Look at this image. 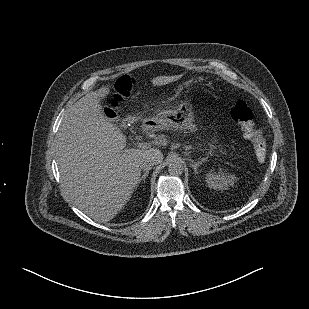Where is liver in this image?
I'll return each mask as SVG.
<instances>
[{
  "mask_svg": "<svg viewBox=\"0 0 309 309\" xmlns=\"http://www.w3.org/2000/svg\"><path fill=\"white\" fill-rule=\"evenodd\" d=\"M108 94L109 88L101 87L68 108L56 145L67 195L82 212L99 222L113 219L129 201L144 161L156 164L163 160L157 148L124 149L126 137L102 112L101 99ZM126 120L135 123L139 118L129 116Z\"/></svg>",
  "mask_w": 309,
  "mask_h": 309,
  "instance_id": "obj_1",
  "label": "liver"
}]
</instances>
